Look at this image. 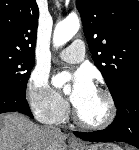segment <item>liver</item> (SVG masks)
<instances>
[{
	"mask_svg": "<svg viewBox=\"0 0 139 150\" xmlns=\"http://www.w3.org/2000/svg\"><path fill=\"white\" fill-rule=\"evenodd\" d=\"M67 136L43 129L24 115H0V150H66Z\"/></svg>",
	"mask_w": 139,
	"mask_h": 150,
	"instance_id": "liver-1",
	"label": "liver"
}]
</instances>
